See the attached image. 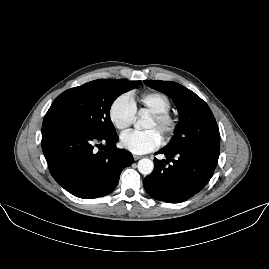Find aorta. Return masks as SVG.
Masks as SVG:
<instances>
[{"mask_svg":"<svg viewBox=\"0 0 269 269\" xmlns=\"http://www.w3.org/2000/svg\"><path fill=\"white\" fill-rule=\"evenodd\" d=\"M138 118L134 124V129L137 131H141L144 129L152 128L153 121L150 120L149 113L140 110L138 113ZM138 171L143 175H150L154 170V164L151 159L143 158L139 160L137 164Z\"/></svg>","mask_w":269,"mask_h":269,"instance_id":"aorta-1","label":"aorta"}]
</instances>
